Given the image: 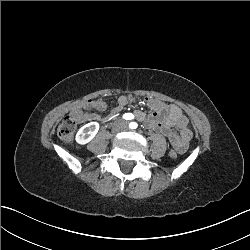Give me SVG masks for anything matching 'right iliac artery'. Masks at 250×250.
I'll list each match as a JSON object with an SVG mask.
<instances>
[{
	"label": "right iliac artery",
	"instance_id": "obj_1",
	"mask_svg": "<svg viewBox=\"0 0 250 250\" xmlns=\"http://www.w3.org/2000/svg\"><path fill=\"white\" fill-rule=\"evenodd\" d=\"M123 118L126 120H131L134 118V115L132 113H126L123 115Z\"/></svg>",
	"mask_w": 250,
	"mask_h": 250
}]
</instances>
